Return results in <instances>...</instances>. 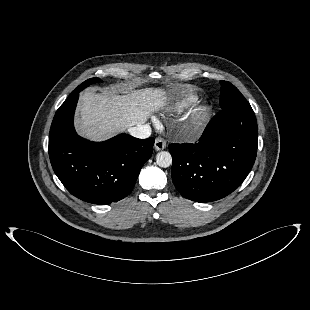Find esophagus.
Listing matches in <instances>:
<instances>
[{"mask_svg": "<svg viewBox=\"0 0 310 310\" xmlns=\"http://www.w3.org/2000/svg\"><path fill=\"white\" fill-rule=\"evenodd\" d=\"M155 150L160 151L166 148V142L163 138L157 137L154 144Z\"/></svg>", "mask_w": 310, "mask_h": 310, "instance_id": "34e87169", "label": "esophagus"}]
</instances>
